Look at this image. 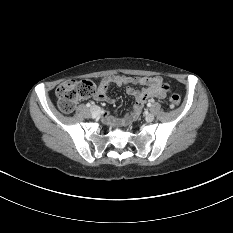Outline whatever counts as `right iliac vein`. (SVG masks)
<instances>
[{
	"mask_svg": "<svg viewBox=\"0 0 233 233\" xmlns=\"http://www.w3.org/2000/svg\"><path fill=\"white\" fill-rule=\"evenodd\" d=\"M90 112L93 116H97L100 112V108L98 106L94 105L90 108Z\"/></svg>",
	"mask_w": 233,
	"mask_h": 233,
	"instance_id": "right-iliac-vein-1",
	"label": "right iliac vein"
}]
</instances>
